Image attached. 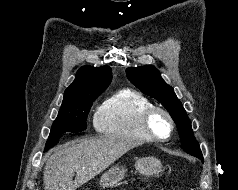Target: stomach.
<instances>
[{"label":"stomach","instance_id":"0dacf381","mask_svg":"<svg viewBox=\"0 0 238 190\" xmlns=\"http://www.w3.org/2000/svg\"><path fill=\"white\" fill-rule=\"evenodd\" d=\"M136 170L143 176L152 177L162 171V163L155 157H144L136 161ZM127 169L120 165L112 166L100 178L99 184L103 188L116 186L126 175Z\"/></svg>","mask_w":238,"mask_h":190}]
</instances>
